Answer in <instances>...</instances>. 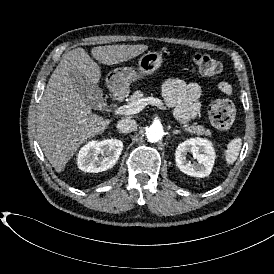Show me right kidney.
<instances>
[{"label":"right kidney","instance_id":"ca27d5eb","mask_svg":"<svg viewBox=\"0 0 274 274\" xmlns=\"http://www.w3.org/2000/svg\"><path fill=\"white\" fill-rule=\"evenodd\" d=\"M123 147L122 141L118 139L92 141L80 150L78 167L88 173L106 171L116 164Z\"/></svg>","mask_w":274,"mask_h":274}]
</instances>
